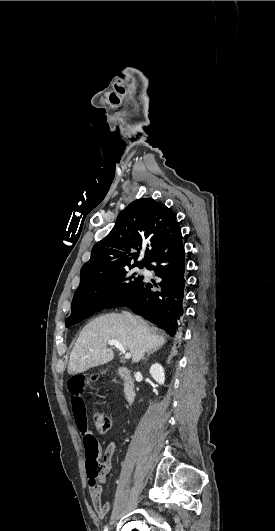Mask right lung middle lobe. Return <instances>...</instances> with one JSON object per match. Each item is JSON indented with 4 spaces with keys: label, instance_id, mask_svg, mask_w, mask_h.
Here are the masks:
<instances>
[{
    "label": "right lung middle lobe",
    "instance_id": "1",
    "mask_svg": "<svg viewBox=\"0 0 275 531\" xmlns=\"http://www.w3.org/2000/svg\"><path fill=\"white\" fill-rule=\"evenodd\" d=\"M135 266L129 267L130 269ZM142 269L145 266H137ZM127 268H121L98 276L80 286L73 297L71 315L66 327L76 324L105 308L120 306L143 280L140 275H128Z\"/></svg>",
    "mask_w": 275,
    "mask_h": 531
}]
</instances>
